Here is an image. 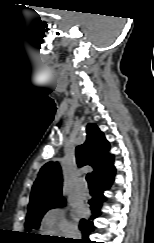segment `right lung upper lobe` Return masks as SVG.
I'll use <instances>...</instances> for the list:
<instances>
[{"instance_id":"1","label":"right lung upper lobe","mask_w":154,"mask_h":243,"mask_svg":"<svg viewBox=\"0 0 154 243\" xmlns=\"http://www.w3.org/2000/svg\"><path fill=\"white\" fill-rule=\"evenodd\" d=\"M87 139L76 148L79 167L90 165L94 171L93 180L114 168V156L109 154V143L94 123L86 128ZM62 197V174L58 162H48L40 170L32 187L28 208H33Z\"/></svg>"}]
</instances>
